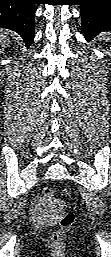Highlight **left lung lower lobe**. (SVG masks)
Here are the masks:
<instances>
[{
    "label": "left lung lower lobe",
    "instance_id": "left-lung-lower-lobe-1",
    "mask_svg": "<svg viewBox=\"0 0 111 257\" xmlns=\"http://www.w3.org/2000/svg\"><path fill=\"white\" fill-rule=\"evenodd\" d=\"M82 31L85 38L111 31V0H82Z\"/></svg>",
    "mask_w": 111,
    "mask_h": 257
}]
</instances>
